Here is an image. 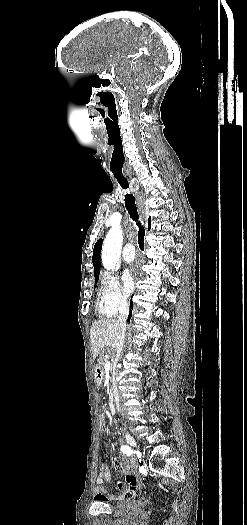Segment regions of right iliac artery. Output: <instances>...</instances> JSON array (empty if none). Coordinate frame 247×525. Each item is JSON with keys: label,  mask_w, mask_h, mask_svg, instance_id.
<instances>
[{"label": "right iliac artery", "mask_w": 247, "mask_h": 525, "mask_svg": "<svg viewBox=\"0 0 247 525\" xmlns=\"http://www.w3.org/2000/svg\"><path fill=\"white\" fill-rule=\"evenodd\" d=\"M121 451L126 455H130L132 453L131 448L126 445L121 446Z\"/></svg>", "instance_id": "82829eb1"}]
</instances>
